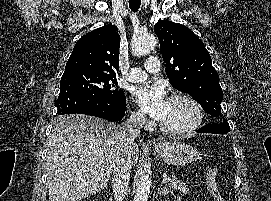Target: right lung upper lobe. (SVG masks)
I'll return each mask as SVG.
<instances>
[{"instance_id":"obj_1","label":"right lung upper lobe","mask_w":271,"mask_h":201,"mask_svg":"<svg viewBox=\"0 0 271 201\" xmlns=\"http://www.w3.org/2000/svg\"><path fill=\"white\" fill-rule=\"evenodd\" d=\"M120 35L116 26L108 24L95 29L75 44L65 71L86 70L115 75L119 70Z\"/></svg>"}]
</instances>
